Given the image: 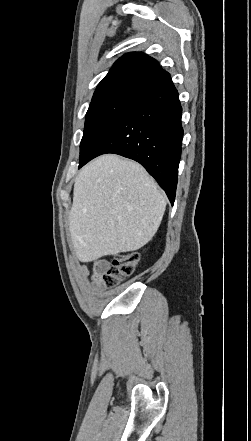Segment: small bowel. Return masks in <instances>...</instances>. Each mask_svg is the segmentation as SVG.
Instances as JSON below:
<instances>
[{
    "mask_svg": "<svg viewBox=\"0 0 251 441\" xmlns=\"http://www.w3.org/2000/svg\"><path fill=\"white\" fill-rule=\"evenodd\" d=\"M109 263L106 259H97L92 262V280H93V289L96 292H104L106 290V286L102 282V275L104 271L107 269ZM78 274L84 282H88L91 277L90 270L88 265L82 263L78 267Z\"/></svg>",
    "mask_w": 251,
    "mask_h": 441,
    "instance_id": "small-bowel-1",
    "label": "small bowel"
}]
</instances>
